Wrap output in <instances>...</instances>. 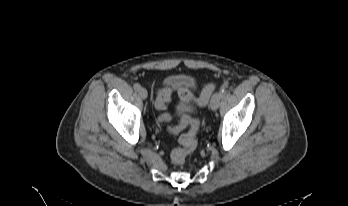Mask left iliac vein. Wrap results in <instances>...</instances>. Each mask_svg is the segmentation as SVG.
Returning <instances> with one entry per match:
<instances>
[{"label": "left iliac vein", "instance_id": "obj_1", "mask_svg": "<svg viewBox=\"0 0 348 206\" xmlns=\"http://www.w3.org/2000/svg\"><path fill=\"white\" fill-rule=\"evenodd\" d=\"M220 93H215L212 98H211V102H210V106H211V109L213 111H216L219 107V104H220Z\"/></svg>", "mask_w": 348, "mask_h": 206}]
</instances>
